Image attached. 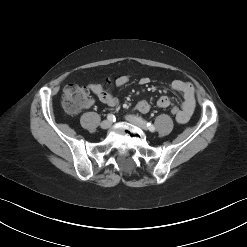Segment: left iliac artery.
Wrapping results in <instances>:
<instances>
[{"mask_svg":"<svg viewBox=\"0 0 247 247\" xmlns=\"http://www.w3.org/2000/svg\"><path fill=\"white\" fill-rule=\"evenodd\" d=\"M145 125L146 127L151 131V132H154L155 131V127L152 123L150 122H146L144 120H142V118H139Z\"/></svg>","mask_w":247,"mask_h":247,"instance_id":"obj_1","label":"left iliac artery"}]
</instances>
